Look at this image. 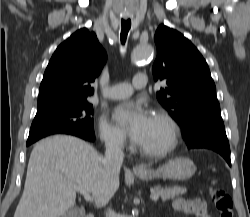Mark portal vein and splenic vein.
Instances as JSON below:
<instances>
[{
    "mask_svg": "<svg viewBox=\"0 0 250 217\" xmlns=\"http://www.w3.org/2000/svg\"><path fill=\"white\" fill-rule=\"evenodd\" d=\"M74 189L77 191V192H80L81 194H83L85 200L87 201H93V197L90 195V193L88 191H86L84 188L82 187H78V186H75ZM151 199L153 201H157L159 199V195H151Z\"/></svg>",
    "mask_w": 250,
    "mask_h": 217,
    "instance_id": "obj_1",
    "label": "portal vein and splenic vein"
}]
</instances>
